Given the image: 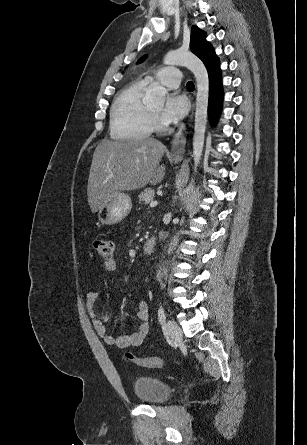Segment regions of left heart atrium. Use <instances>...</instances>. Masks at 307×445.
Returning a JSON list of instances; mask_svg holds the SVG:
<instances>
[{
    "instance_id": "left-heart-atrium-1",
    "label": "left heart atrium",
    "mask_w": 307,
    "mask_h": 445,
    "mask_svg": "<svg viewBox=\"0 0 307 445\" xmlns=\"http://www.w3.org/2000/svg\"><path fill=\"white\" fill-rule=\"evenodd\" d=\"M187 111L186 98L175 91H169L161 111L162 119L167 123H174L182 119Z\"/></svg>"
}]
</instances>
